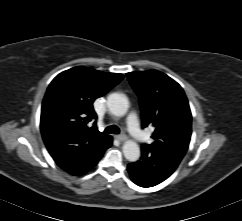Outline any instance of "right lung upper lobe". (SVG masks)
<instances>
[{"mask_svg": "<svg viewBox=\"0 0 242 221\" xmlns=\"http://www.w3.org/2000/svg\"><path fill=\"white\" fill-rule=\"evenodd\" d=\"M123 79L119 73H105L74 67L56 76L43 99L40 129L44 143L61 168L80 171L100 153L110 139L98 131L93 109L95 99Z\"/></svg>", "mask_w": 242, "mask_h": 221, "instance_id": "obj_1", "label": "right lung upper lobe"}]
</instances>
